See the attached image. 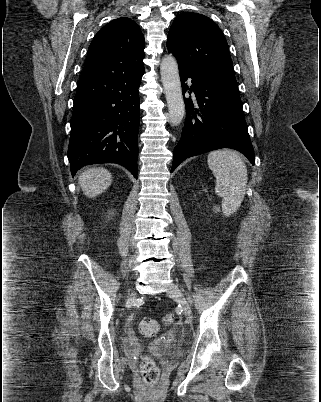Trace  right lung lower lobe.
I'll return each instance as SVG.
<instances>
[{
    "label": "right lung lower lobe",
    "instance_id": "obj_1",
    "mask_svg": "<svg viewBox=\"0 0 321 402\" xmlns=\"http://www.w3.org/2000/svg\"><path fill=\"white\" fill-rule=\"evenodd\" d=\"M144 70L77 82L68 159L71 173L83 166L117 163L137 178L140 99Z\"/></svg>",
    "mask_w": 321,
    "mask_h": 402
}]
</instances>
